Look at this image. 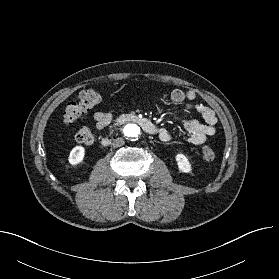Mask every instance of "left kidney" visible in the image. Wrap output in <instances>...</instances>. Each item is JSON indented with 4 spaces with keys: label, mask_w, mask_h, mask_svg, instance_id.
<instances>
[{
    "label": "left kidney",
    "mask_w": 279,
    "mask_h": 279,
    "mask_svg": "<svg viewBox=\"0 0 279 279\" xmlns=\"http://www.w3.org/2000/svg\"><path fill=\"white\" fill-rule=\"evenodd\" d=\"M175 159L177 162L178 169L181 172L190 173L192 171L191 164L185 155L177 154Z\"/></svg>",
    "instance_id": "obj_1"
}]
</instances>
